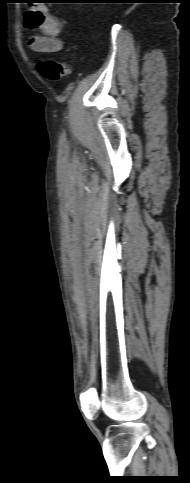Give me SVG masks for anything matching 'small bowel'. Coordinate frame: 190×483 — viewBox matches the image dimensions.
I'll use <instances>...</instances> for the list:
<instances>
[{"mask_svg":"<svg viewBox=\"0 0 190 483\" xmlns=\"http://www.w3.org/2000/svg\"><path fill=\"white\" fill-rule=\"evenodd\" d=\"M24 23L28 29L39 30L41 34L33 35L29 39L30 48L38 53H57L62 49L60 39L62 26L57 19L43 10H29L25 13Z\"/></svg>","mask_w":190,"mask_h":483,"instance_id":"obj_1","label":"small bowel"}]
</instances>
